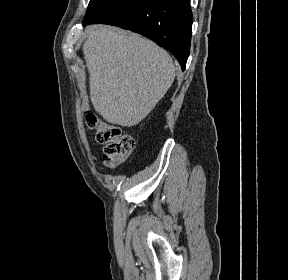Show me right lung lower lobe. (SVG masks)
Masks as SVG:
<instances>
[{
	"label": "right lung lower lobe",
	"mask_w": 288,
	"mask_h": 280,
	"mask_svg": "<svg viewBox=\"0 0 288 280\" xmlns=\"http://www.w3.org/2000/svg\"><path fill=\"white\" fill-rule=\"evenodd\" d=\"M192 22L189 0H115L83 25L104 23L137 32L170 51L185 70Z\"/></svg>",
	"instance_id": "obj_1"
}]
</instances>
